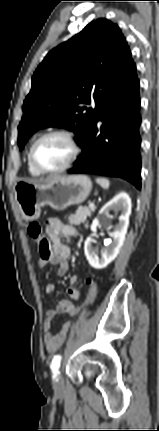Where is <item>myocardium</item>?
I'll use <instances>...</instances> for the list:
<instances>
[{"label": "myocardium", "instance_id": "obj_1", "mask_svg": "<svg viewBox=\"0 0 159 431\" xmlns=\"http://www.w3.org/2000/svg\"><path fill=\"white\" fill-rule=\"evenodd\" d=\"M52 136H62L64 138L67 139V141L69 142L71 148H72V154L71 157L69 158V160L61 167L57 168V169H52V170H48V169H44L42 167H40L37 162L35 161V157H34V152H35V148L36 146L44 139L48 138V137H52ZM81 153V147L80 144L78 142V139L76 137V135L67 129H53L50 131H47L45 133H43L41 136H39L31 145L30 149H29V160L31 165L41 174H57V173H62L64 171H66L67 169H69L78 159L79 155Z\"/></svg>", "mask_w": 159, "mask_h": 431}]
</instances>
